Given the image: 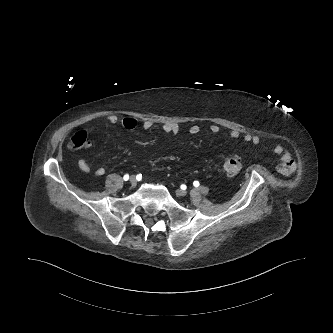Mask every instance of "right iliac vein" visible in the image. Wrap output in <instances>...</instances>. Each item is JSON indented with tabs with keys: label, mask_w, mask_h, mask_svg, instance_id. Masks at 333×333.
I'll return each instance as SVG.
<instances>
[{
	"label": "right iliac vein",
	"mask_w": 333,
	"mask_h": 333,
	"mask_svg": "<svg viewBox=\"0 0 333 333\" xmlns=\"http://www.w3.org/2000/svg\"><path fill=\"white\" fill-rule=\"evenodd\" d=\"M130 183L132 186H136L137 184V179L135 176H131L130 179H129Z\"/></svg>",
	"instance_id": "obj_1"
}]
</instances>
